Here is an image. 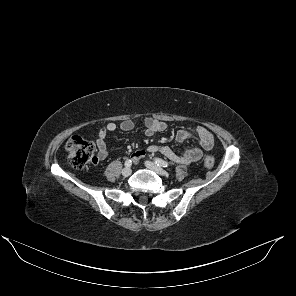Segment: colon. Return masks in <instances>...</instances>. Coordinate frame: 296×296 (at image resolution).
<instances>
[{"mask_svg": "<svg viewBox=\"0 0 296 296\" xmlns=\"http://www.w3.org/2000/svg\"><path fill=\"white\" fill-rule=\"evenodd\" d=\"M66 150L69 161L74 168L81 169L87 164L97 161L94 143L79 136H73L68 140ZM213 165L214 158L212 156H207L204 160L205 168L210 169Z\"/></svg>", "mask_w": 296, "mask_h": 296, "instance_id": "obj_1", "label": "colon"}]
</instances>
